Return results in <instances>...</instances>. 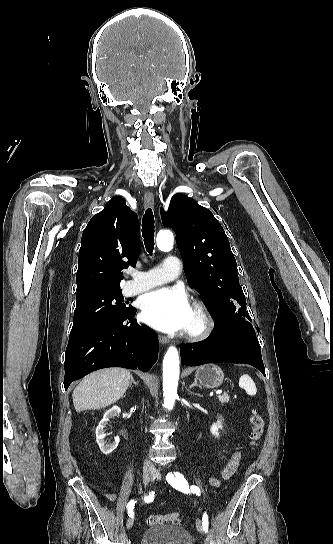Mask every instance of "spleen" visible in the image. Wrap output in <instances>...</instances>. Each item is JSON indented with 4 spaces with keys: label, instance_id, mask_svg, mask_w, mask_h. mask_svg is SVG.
Here are the masks:
<instances>
[{
    "label": "spleen",
    "instance_id": "obj_1",
    "mask_svg": "<svg viewBox=\"0 0 333 544\" xmlns=\"http://www.w3.org/2000/svg\"><path fill=\"white\" fill-rule=\"evenodd\" d=\"M239 386L243 388L246 391V393L250 396L255 395L257 392L256 386L253 380L246 374L240 377Z\"/></svg>",
    "mask_w": 333,
    "mask_h": 544
}]
</instances>
